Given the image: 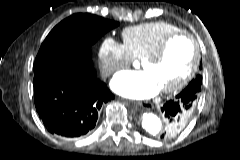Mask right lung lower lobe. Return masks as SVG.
Instances as JSON below:
<instances>
[{
  "label": "right lung lower lobe",
  "instance_id": "1",
  "mask_svg": "<svg viewBox=\"0 0 240 160\" xmlns=\"http://www.w3.org/2000/svg\"><path fill=\"white\" fill-rule=\"evenodd\" d=\"M36 110L46 128L61 137L76 138L92 130L102 104L114 99L94 68L85 70L62 60L34 71Z\"/></svg>",
  "mask_w": 240,
  "mask_h": 160
}]
</instances>
